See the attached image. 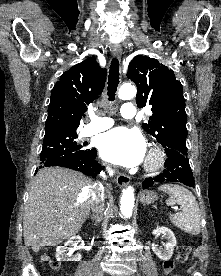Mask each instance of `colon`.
<instances>
[{
  "label": "colon",
  "mask_w": 221,
  "mask_h": 276,
  "mask_svg": "<svg viewBox=\"0 0 221 276\" xmlns=\"http://www.w3.org/2000/svg\"><path fill=\"white\" fill-rule=\"evenodd\" d=\"M191 250L192 248L188 244L180 245L177 249L176 260H167L164 262V265H163L164 273L166 275L171 274L174 271L176 264L185 263L191 254ZM42 259L47 261L52 268H57L59 266L58 261L52 260L46 255H44Z\"/></svg>",
  "instance_id": "5ec220e1"
}]
</instances>
